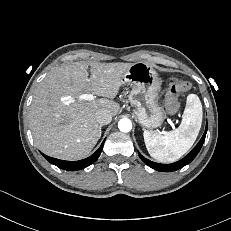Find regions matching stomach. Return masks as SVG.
Wrapping results in <instances>:
<instances>
[{"instance_id":"0dacf381","label":"stomach","mask_w":231,"mask_h":231,"mask_svg":"<svg viewBox=\"0 0 231 231\" xmlns=\"http://www.w3.org/2000/svg\"><path fill=\"white\" fill-rule=\"evenodd\" d=\"M122 84L130 85V102L136 107L141 126L156 128L164 121V111L158 103L160 80L153 66L146 62L134 63L122 76Z\"/></svg>"}]
</instances>
